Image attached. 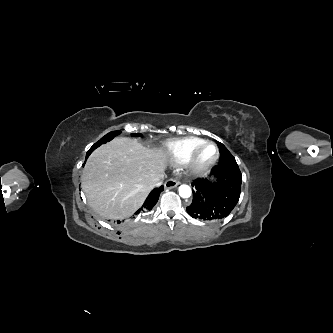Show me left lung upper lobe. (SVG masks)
<instances>
[{"instance_id":"5c2ea615","label":"left lung upper lobe","mask_w":333,"mask_h":333,"mask_svg":"<svg viewBox=\"0 0 333 333\" xmlns=\"http://www.w3.org/2000/svg\"><path fill=\"white\" fill-rule=\"evenodd\" d=\"M219 150H220V160L218 165L236 163L235 158L222 143L219 144Z\"/></svg>"}]
</instances>
